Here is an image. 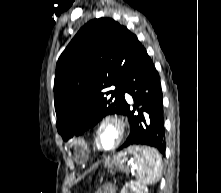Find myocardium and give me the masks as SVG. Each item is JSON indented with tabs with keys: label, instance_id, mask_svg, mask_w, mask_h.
Returning <instances> with one entry per match:
<instances>
[{
	"label": "myocardium",
	"instance_id": "obj_1",
	"mask_svg": "<svg viewBox=\"0 0 221 193\" xmlns=\"http://www.w3.org/2000/svg\"><path fill=\"white\" fill-rule=\"evenodd\" d=\"M108 124L113 125L117 131V139L115 143L110 148H103L99 142V135L102 128ZM126 132V124L124 120L115 114H107L103 116L99 122L97 123L94 131V144L98 150L102 152H110L118 148V146L122 143Z\"/></svg>",
	"mask_w": 221,
	"mask_h": 193
}]
</instances>
